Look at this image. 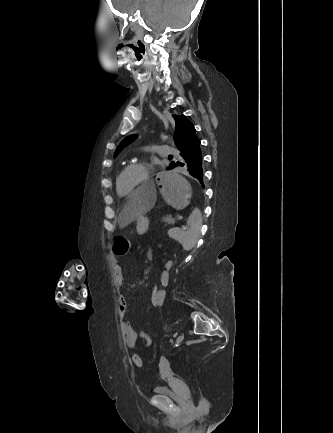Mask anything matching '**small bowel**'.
Instances as JSON below:
<instances>
[{"label": "small bowel", "mask_w": 333, "mask_h": 433, "mask_svg": "<svg viewBox=\"0 0 333 433\" xmlns=\"http://www.w3.org/2000/svg\"><path fill=\"white\" fill-rule=\"evenodd\" d=\"M147 258L148 259L153 258L152 250L147 251ZM114 272H115L116 282L119 286H121L123 282V268L118 261H116L114 264ZM169 281H170L169 271H166L164 268L160 273L159 287L156 289L157 292L160 294L159 299L162 305L166 298V291L164 288L168 286ZM127 309H128L127 299L125 296L121 295L119 297V313L122 317L125 316ZM120 329H121L123 342L128 348H135L139 344H144L146 347H148L152 343V338L148 332L146 331L136 332L127 321L124 320L121 321Z\"/></svg>", "instance_id": "1"}]
</instances>
